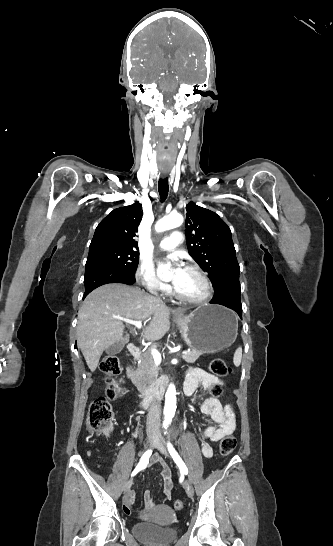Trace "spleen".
I'll use <instances>...</instances> for the list:
<instances>
[{"mask_svg":"<svg viewBox=\"0 0 333 546\" xmlns=\"http://www.w3.org/2000/svg\"><path fill=\"white\" fill-rule=\"evenodd\" d=\"M241 359H242V349L241 348H238L235 353H234V357H233V363L236 367L240 366L241 364Z\"/></svg>","mask_w":333,"mask_h":546,"instance_id":"obj_1","label":"spleen"}]
</instances>
